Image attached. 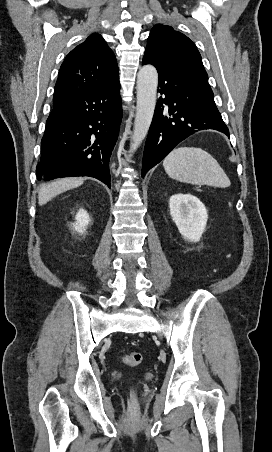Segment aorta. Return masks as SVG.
Instances as JSON below:
<instances>
[{"label":"aorta","mask_w":272,"mask_h":452,"mask_svg":"<svg viewBox=\"0 0 272 452\" xmlns=\"http://www.w3.org/2000/svg\"><path fill=\"white\" fill-rule=\"evenodd\" d=\"M158 86V73L153 65H144L137 74V110L130 151L145 139L152 122Z\"/></svg>","instance_id":"1"}]
</instances>
